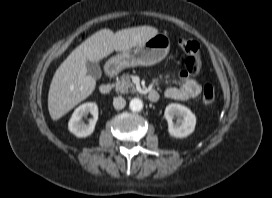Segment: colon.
<instances>
[{
    "instance_id": "5ec220e1",
    "label": "colon",
    "mask_w": 272,
    "mask_h": 198,
    "mask_svg": "<svg viewBox=\"0 0 272 198\" xmlns=\"http://www.w3.org/2000/svg\"><path fill=\"white\" fill-rule=\"evenodd\" d=\"M180 45L185 54L184 64L187 73H199L202 66L199 44L192 40H182ZM201 99L204 106H212L216 99V91L214 87L211 85H205Z\"/></svg>"
}]
</instances>
